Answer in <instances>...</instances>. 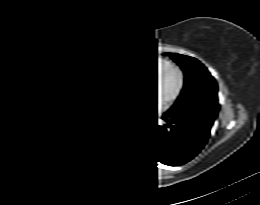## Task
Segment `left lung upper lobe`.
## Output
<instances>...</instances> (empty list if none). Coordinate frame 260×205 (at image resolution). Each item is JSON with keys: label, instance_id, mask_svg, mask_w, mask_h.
<instances>
[{"label": "left lung upper lobe", "instance_id": "left-lung-upper-lobe-1", "mask_svg": "<svg viewBox=\"0 0 260 205\" xmlns=\"http://www.w3.org/2000/svg\"><path fill=\"white\" fill-rule=\"evenodd\" d=\"M163 55H170L185 75L181 94L167 114H193L215 120L219 110L218 87L207 68L193 57L177 53Z\"/></svg>", "mask_w": 260, "mask_h": 205}]
</instances>
